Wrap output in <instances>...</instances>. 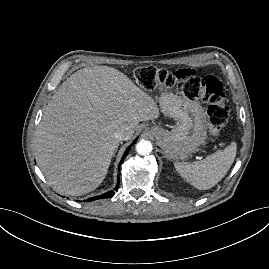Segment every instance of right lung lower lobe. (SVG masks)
<instances>
[{"label": "right lung lower lobe", "mask_w": 269, "mask_h": 269, "mask_svg": "<svg viewBox=\"0 0 269 269\" xmlns=\"http://www.w3.org/2000/svg\"><path fill=\"white\" fill-rule=\"evenodd\" d=\"M135 141H136V140H135ZM135 141H134V142H135ZM129 150H130V147H129V148L126 150V152L124 153V155H123V157H122V159H121L119 165H121V163L123 162L124 158L128 155ZM119 183H120V180H119V178H118L117 186L115 187L114 190L117 191V189H118V187H119V186H118ZM114 194H115L114 191H109V192H107V193H105V194H102V195H100V196H96V197L89 198V199H88V202H91V201H94V200H98V199H103V198H110V197H112Z\"/></svg>", "instance_id": "1"}]
</instances>
